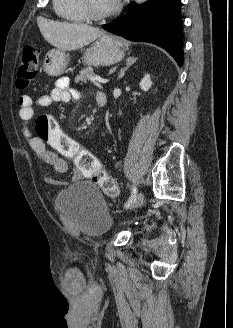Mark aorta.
Listing matches in <instances>:
<instances>
[{"label":"aorta","mask_w":233,"mask_h":328,"mask_svg":"<svg viewBox=\"0 0 233 328\" xmlns=\"http://www.w3.org/2000/svg\"><path fill=\"white\" fill-rule=\"evenodd\" d=\"M138 4H141L142 2H144L145 0H135Z\"/></svg>","instance_id":"1"}]
</instances>
